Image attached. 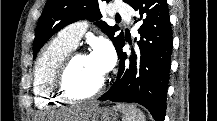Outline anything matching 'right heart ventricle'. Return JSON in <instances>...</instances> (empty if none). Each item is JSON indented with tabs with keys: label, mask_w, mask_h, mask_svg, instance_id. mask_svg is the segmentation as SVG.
<instances>
[{
	"label": "right heart ventricle",
	"mask_w": 217,
	"mask_h": 121,
	"mask_svg": "<svg viewBox=\"0 0 217 121\" xmlns=\"http://www.w3.org/2000/svg\"><path fill=\"white\" fill-rule=\"evenodd\" d=\"M73 48L74 46L58 36L40 52L33 72V90L38 107L51 108L62 102L61 99L56 98L52 82L59 65Z\"/></svg>",
	"instance_id": "1"
}]
</instances>
